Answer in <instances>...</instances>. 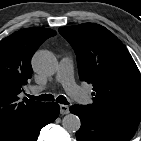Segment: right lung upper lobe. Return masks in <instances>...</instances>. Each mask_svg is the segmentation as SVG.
Returning <instances> with one entry per match:
<instances>
[{
    "mask_svg": "<svg viewBox=\"0 0 141 141\" xmlns=\"http://www.w3.org/2000/svg\"><path fill=\"white\" fill-rule=\"evenodd\" d=\"M54 35V30L32 27L0 41V139L44 104L28 99L19 102L18 94L32 77V55Z\"/></svg>",
    "mask_w": 141,
    "mask_h": 141,
    "instance_id": "cb5924a9",
    "label": "right lung upper lobe"
}]
</instances>
